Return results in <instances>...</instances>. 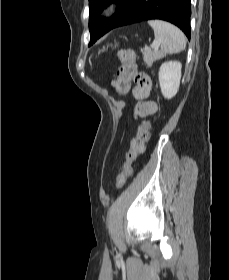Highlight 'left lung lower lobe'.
Segmentation results:
<instances>
[{
    "label": "left lung lower lobe",
    "instance_id": "1",
    "mask_svg": "<svg viewBox=\"0 0 229 280\" xmlns=\"http://www.w3.org/2000/svg\"><path fill=\"white\" fill-rule=\"evenodd\" d=\"M190 16V0H134L114 28L144 20L161 19L178 26L190 39Z\"/></svg>",
    "mask_w": 229,
    "mask_h": 280
}]
</instances>
